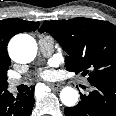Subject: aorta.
Wrapping results in <instances>:
<instances>
[{
  "instance_id": "obj_1",
  "label": "aorta",
  "mask_w": 116,
  "mask_h": 116,
  "mask_svg": "<svg viewBox=\"0 0 116 116\" xmlns=\"http://www.w3.org/2000/svg\"><path fill=\"white\" fill-rule=\"evenodd\" d=\"M11 58L18 63H28L32 61L37 52V45L34 38L27 34H20L12 38L8 46ZM61 102L68 106H75L78 102V91L65 87L60 92Z\"/></svg>"
}]
</instances>
